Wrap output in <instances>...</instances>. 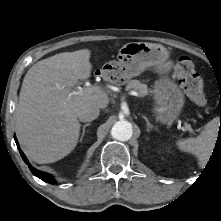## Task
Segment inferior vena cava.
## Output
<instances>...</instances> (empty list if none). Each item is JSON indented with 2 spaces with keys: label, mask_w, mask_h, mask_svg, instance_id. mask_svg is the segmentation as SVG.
<instances>
[{
  "label": "inferior vena cava",
  "mask_w": 221,
  "mask_h": 221,
  "mask_svg": "<svg viewBox=\"0 0 221 221\" xmlns=\"http://www.w3.org/2000/svg\"><path fill=\"white\" fill-rule=\"evenodd\" d=\"M100 113V109L97 106L91 105L80 111L78 118L81 122H90L95 120Z\"/></svg>",
  "instance_id": "602c4592"
}]
</instances>
